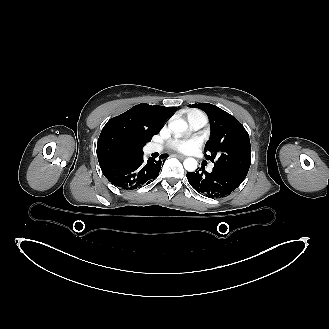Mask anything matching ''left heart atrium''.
I'll return each instance as SVG.
<instances>
[{
	"label": "left heart atrium",
	"mask_w": 329,
	"mask_h": 329,
	"mask_svg": "<svg viewBox=\"0 0 329 329\" xmlns=\"http://www.w3.org/2000/svg\"><path fill=\"white\" fill-rule=\"evenodd\" d=\"M201 144L202 141L199 137H193L190 139L173 140L170 145L178 152L189 153L196 150Z\"/></svg>",
	"instance_id": "left-heart-atrium-1"
}]
</instances>
